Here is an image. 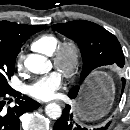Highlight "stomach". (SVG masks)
<instances>
[{
    "label": "stomach",
    "instance_id": "0dacf381",
    "mask_svg": "<svg viewBox=\"0 0 130 130\" xmlns=\"http://www.w3.org/2000/svg\"><path fill=\"white\" fill-rule=\"evenodd\" d=\"M114 97V85L103 72L95 73L83 89L76 113L84 120H95L107 113Z\"/></svg>",
    "mask_w": 130,
    "mask_h": 130
}]
</instances>
